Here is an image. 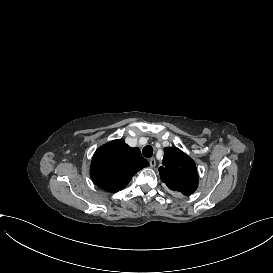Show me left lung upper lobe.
Here are the masks:
<instances>
[{
  "mask_svg": "<svg viewBox=\"0 0 273 273\" xmlns=\"http://www.w3.org/2000/svg\"><path fill=\"white\" fill-rule=\"evenodd\" d=\"M162 165L159 167L160 178L171 190L190 195L197 189L196 164L180 149L164 148Z\"/></svg>",
  "mask_w": 273,
  "mask_h": 273,
  "instance_id": "left-lung-upper-lobe-1",
  "label": "left lung upper lobe"
}]
</instances>
